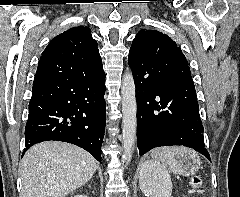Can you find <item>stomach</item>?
<instances>
[{
  "instance_id": "stomach-1",
  "label": "stomach",
  "mask_w": 240,
  "mask_h": 197,
  "mask_svg": "<svg viewBox=\"0 0 240 197\" xmlns=\"http://www.w3.org/2000/svg\"><path fill=\"white\" fill-rule=\"evenodd\" d=\"M169 167L176 174L182 176H191L200 168V159L196 153L195 155H176L174 157V161L169 164ZM142 184L143 181H140V186Z\"/></svg>"
}]
</instances>
